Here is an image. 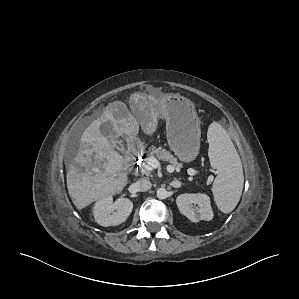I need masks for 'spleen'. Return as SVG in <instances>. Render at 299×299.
<instances>
[{"mask_svg": "<svg viewBox=\"0 0 299 299\" xmlns=\"http://www.w3.org/2000/svg\"><path fill=\"white\" fill-rule=\"evenodd\" d=\"M208 156L216 169L212 192L215 203L223 213H230L238 204L244 183L240 157L226 130L217 122L209 125Z\"/></svg>", "mask_w": 299, "mask_h": 299, "instance_id": "3e777b00", "label": "spleen"}]
</instances>
